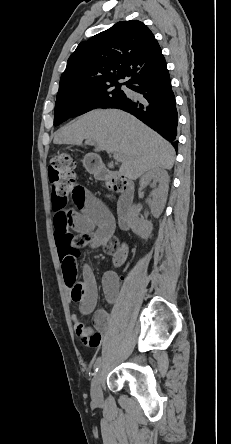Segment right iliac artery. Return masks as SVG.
I'll use <instances>...</instances> for the list:
<instances>
[{
    "label": "right iliac artery",
    "instance_id": "right-iliac-artery-1",
    "mask_svg": "<svg viewBox=\"0 0 231 444\" xmlns=\"http://www.w3.org/2000/svg\"><path fill=\"white\" fill-rule=\"evenodd\" d=\"M100 363H101V357H98V358L96 359L95 364H94V372H95V373L98 371V369H99V367H100Z\"/></svg>",
    "mask_w": 231,
    "mask_h": 444
}]
</instances>
